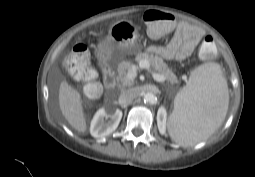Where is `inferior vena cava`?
<instances>
[{"label":"inferior vena cava","instance_id":"inferior-vena-cava-1","mask_svg":"<svg viewBox=\"0 0 255 177\" xmlns=\"http://www.w3.org/2000/svg\"><path fill=\"white\" fill-rule=\"evenodd\" d=\"M138 96H139V91L137 89H129L120 95L119 100L122 103H131Z\"/></svg>","mask_w":255,"mask_h":177}]
</instances>
